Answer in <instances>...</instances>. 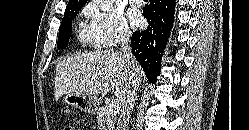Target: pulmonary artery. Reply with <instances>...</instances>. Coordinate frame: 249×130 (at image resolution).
Returning <instances> with one entry per match:
<instances>
[{"instance_id":"1","label":"pulmonary artery","mask_w":249,"mask_h":130,"mask_svg":"<svg viewBox=\"0 0 249 130\" xmlns=\"http://www.w3.org/2000/svg\"><path fill=\"white\" fill-rule=\"evenodd\" d=\"M129 1L132 6H137V7L141 6L143 3V0H129Z\"/></svg>"}]
</instances>
